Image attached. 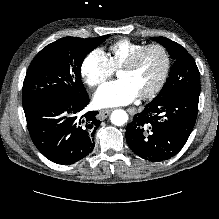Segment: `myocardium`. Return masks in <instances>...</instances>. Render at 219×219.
Masks as SVG:
<instances>
[{"instance_id":"1","label":"myocardium","mask_w":219,"mask_h":219,"mask_svg":"<svg viewBox=\"0 0 219 219\" xmlns=\"http://www.w3.org/2000/svg\"><path fill=\"white\" fill-rule=\"evenodd\" d=\"M151 49H158L161 51L164 57V68L156 84L148 91L142 92L138 95L141 99H148V98L154 97L164 87L169 77L170 70H171V57H170V54L167 48L160 43L147 44L143 46L142 48H140L138 51H136L129 59H127L119 67V70H122V69L128 70V69L133 68L138 63V61L143 56V54Z\"/></svg>"}]
</instances>
